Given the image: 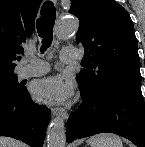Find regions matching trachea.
I'll return each instance as SVG.
<instances>
[{
  "label": "trachea",
  "instance_id": "3493384b",
  "mask_svg": "<svg viewBox=\"0 0 145 147\" xmlns=\"http://www.w3.org/2000/svg\"><path fill=\"white\" fill-rule=\"evenodd\" d=\"M55 7L51 1H46L41 9V16L37 19L38 35L42 38L41 52L44 53L53 40V27L55 23Z\"/></svg>",
  "mask_w": 145,
  "mask_h": 147
}]
</instances>
